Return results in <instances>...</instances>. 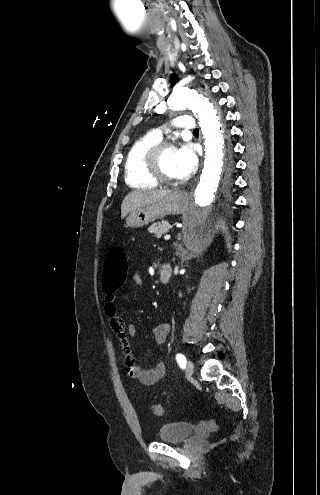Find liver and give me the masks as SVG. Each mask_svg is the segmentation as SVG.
<instances>
[{"instance_id":"1","label":"liver","mask_w":320,"mask_h":495,"mask_svg":"<svg viewBox=\"0 0 320 495\" xmlns=\"http://www.w3.org/2000/svg\"><path fill=\"white\" fill-rule=\"evenodd\" d=\"M172 191L170 190H134L123 199L121 205V218L140 207L154 203Z\"/></svg>"}]
</instances>
